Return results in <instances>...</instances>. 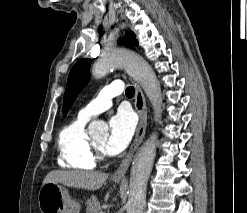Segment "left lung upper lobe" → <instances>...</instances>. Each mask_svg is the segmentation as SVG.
I'll use <instances>...</instances> for the list:
<instances>
[{"instance_id": "1", "label": "left lung upper lobe", "mask_w": 247, "mask_h": 213, "mask_svg": "<svg viewBox=\"0 0 247 213\" xmlns=\"http://www.w3.org/2000/svg\"><path fill=\"white\" fill-rule=\"evenodd\" d=\"M126 47L134 48L138 45L135 34L131 31L126 32L124 39L118 41ZM90 59L79 60L71 69L63 100V113L66 115L77 95L89 81Z\"/></svg>"}]
</instances>
